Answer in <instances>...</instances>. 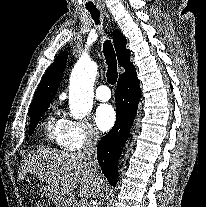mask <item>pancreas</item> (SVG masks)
<instances>
[{
	"instance_id": "obj_1",
	"label": "pancreas",
	"mask_w": 206,
	"mask_h": 207,
	"mask_svg": "<svg viewBox=\"0 0 206 207\" xmlns=\"http://www.w3.org/2000/svg\"><path fill=\"white\" fill-rule=\"evenodd\" d=\"M72 207H88V206H85L83 202L74 201Z\"/></svg>"
}]
</instances>
